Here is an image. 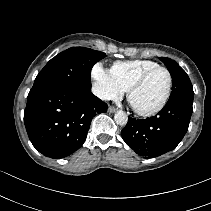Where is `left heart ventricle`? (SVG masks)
Returning a JSON list of instances; mask_svg holds the SVG:
<instances>
[{"label": "left heart ventricle", "mask_w": 211, "mask_h": 211, "mask_svg": "<svg viewBox=\"0 0 211 211\" xmlns=\"http://www.w3.org/2000/svg\"><path fill=\"white\" fill-rule=\"evenodd\" d=\"M168 84V76L165 71L153 72L144 84L136 90L131 98L134 108L142 111L156 107L163 99Z\"/></svg>", "instance_id": "obj_1"}]
</instances>
